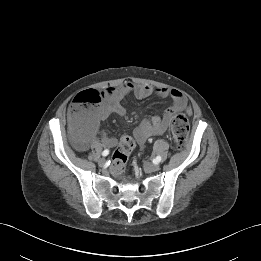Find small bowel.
<instances>
[{
    "mask_svg": "<svg viewBox=\"0 0 261 261\" xmlns=\"http://www.w3.org/2000/svg\"><path fill=\"white\" fill-rule=\"evenodd\" d=\"M133 95L136 98L143 99L151 95L161 98L170 97L172 105L164 112L162 116H152L143 120L133 132V137L139 146L145 145L147 140L154 135L164 134L174 117L178 112L190 114L191 110L187 105L186 98L177 89L166 87L155 88L147 84H135L127 81L117 87H108L102 91V102L94 108L89 126L86 128L82 138L77 141L78 149H86L89 142L94 137L98 126L106 121L110 115L116 114L123 116L126 113L124 105L125 99ZM100 143L107 148L116 146L117 138L102 132L99 137Z\"/></svg>",
    "mask_w": 261,
    "mask_h": 261,
    "instance_id": "small-bowel-1",
    "label": "small bowel"
}]
</instances>
